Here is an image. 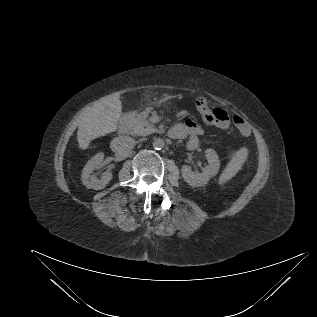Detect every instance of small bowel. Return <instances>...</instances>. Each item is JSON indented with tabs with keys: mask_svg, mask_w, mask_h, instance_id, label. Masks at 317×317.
<instances>
[{
	"mask_svg": "<svg viewBox=\"0 0 317 317\" xmlns=\"http://www.w3.org/2000/svg\"><path fill=\"white\" fill-rule=\"evenodd\" d=\"M234 124L242 135L248 136L250 134V126L241 116H234ZM227 125L228 117H226V120L222 124H219L220 127H226ZM202 134V127L190 119L186 120L184 123L175 125L170 130V136L174 139H183L188 137L189 146H195L198 142L199 136Z\"/></svg>",
	"mask_w": 317,
	"mask_h": 317,
	"instance_id": "obj_1",
	"label": "small bowel"
}]
</instances>
